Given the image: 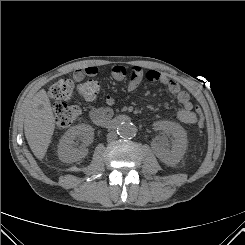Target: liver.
I'll return each mask as SVG.
<instances>
[{
    "label": "liver",
    "mask_w": 245,
    "mask_h": 245,
    "mask_svg": "<svg viewBox=\"0 0 245 245\" xmlns=\"http://www.w3.org/2000/svg\"><path fill=\"white\" fill-rule=\"evenodd\" d=\"M55 129V118L49 97L41 89L25 109L24 133L33 154L42 160Z\"/></svg>",
    "instance_id": "obj_1"
}]
</instances>
